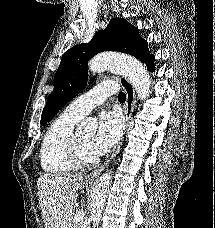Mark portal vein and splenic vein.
<instances>
[{"mask_svg": "<svg viewBox=\"0 0 215 228\" xmlns=\"http://www.w3.org/2000/svg\"><path fill=\"white\" fill-rule=\"evenodd\" d=\"M85 214L83 212H78L75 216V220H78V222H83Z\"/></svg>", "mask_w": 215, "mask_h": 228, "instance_id": "18ae733b", "label": "portal vein and splenic vein"}]
</instances>
